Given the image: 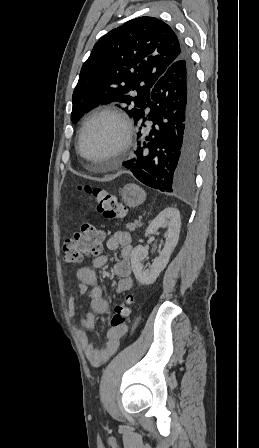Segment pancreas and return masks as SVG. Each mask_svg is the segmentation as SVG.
Listing matches in <instances>:
<instances>
[{"label":"pancreas","mask_w":259,"mask_h":448,"mask_svg":"<svg viewBox=\"0 0 259 448\" xmlns=\"http://www.w3.org/2000/svg\"><path fill=\"white\" fill-rule=\"evenodd\" d=\"M142 224L141 222H133V224H126V228H128V230H131V232H134V230H136V228H141Z\"/></svg>","instance_id":"cf45deb5"}]
</instances>
